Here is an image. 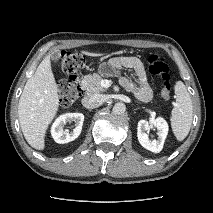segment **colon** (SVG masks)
Segmentation results:
<instances>
[{"label":"colon","mask_w":213,"mask_h":213,"mask_svg":"<svg viewBox=\"0 0 213 213\" xmlns=\"http://www.w3.org/2000/svg\"><path fill=\"white\" fill-rule=\"evenodd\" d=\"M85 58L77 53H64L60 60V66L68 78L61 81L58 86L59 102L62 106H70L83 94L79 85V75L85 68ZM148 69L158 80L160 95L164 99L171 96V83L169 68L163 57L151 55L148 58Z\"/></svg>","instance_id":"1"}]
</instances>
